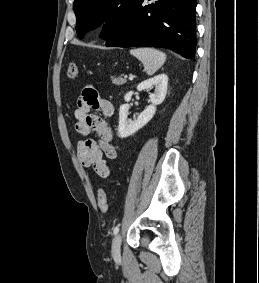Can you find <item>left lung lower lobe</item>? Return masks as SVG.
<instances>
[{
    "label": "left lung lower lobe",
    "mask_w": 259,
    "mask_h": 283,
    "mask_svg": "<svg viewBox=\"0 0 259 283\" xmlns=\"http://www.w3.org/2000/svg\"><path fill=\"white\" fill-rule=\"evenodd\" d=\"M135 0L107 47H162L194 60L196 0Z\"/></svg>",
    "instance_id": "obj_1"
}]
</instances>
